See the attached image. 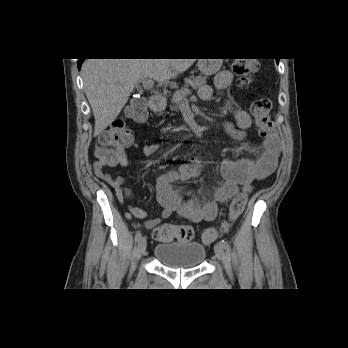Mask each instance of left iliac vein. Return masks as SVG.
<instances>
[{
	"instance_id": "4c4485c4",
	"label": "left iliac vein",
	"mask_w": 348,
	"mask_h": 348,
	"mask_svg": "<svg viewBox=\"0 0 348 348\" xmlns=\"http://www.w3.org/2000/svg\"><path fill=\"white\" fill-rule=\"evenodd\" d=\"M214 250H215L216 257L219 260L223 261L225 259V254H224V249H223L222 245L220 243H217L214 246Z\"/></svg>"
}]
</instances>
